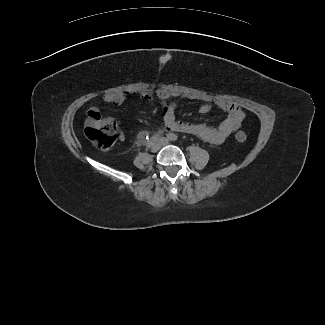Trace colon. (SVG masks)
<instances>
[{
	"mask_svg": "<svg viewBox=\"0 0 325 325\" xmlns=\"http://www.w3.org/2000/svg\"><path fill=\"white\" fill-rule=\"evenodd\" d=\"M86 137L94 146L102 150L110 149L117 138V125L111 118L103 117L99 112H89L84 129ZM238 142H245L247 136L239 131L235 134Z\"/></svg>",
	"mask_w": 325,
	"mask_h": 325,
	"instance_id": "obj_1",
	"label": "colon"
}]
</instances>
